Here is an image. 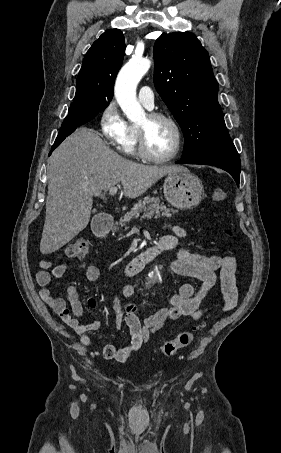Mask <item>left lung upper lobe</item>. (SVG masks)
Segmentation results:
<instances>
[{
  "instance_id": "obj_1",
  "label": "left lung upper lobe",
  "mask_w": 281,
  "mask_h": 453,
  "mask_svg": "<svg viewBox=\"0 0 281 453\" xmlns=\"http://www.w3.org/2000/svg\"><path fill=\"white\" fill-rule=\"evenodd\" d=\"M153 51L154 85L183 131L182 159L234 150L209 55L196 36L163 34Z\"/></svg>"
}]
</instances>
